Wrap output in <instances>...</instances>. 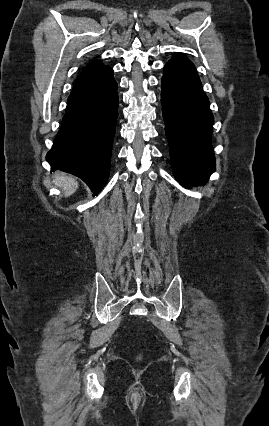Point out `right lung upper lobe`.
Here are the masks:
<instances>
[{
    "instance_id": "right-lung-upper-lobe-1",
    "label": "right lung upper lobe",
    "mask_w": 269,
    "mask_h": 426,
    "mask_svg": "<svg viewBox=\"0 0 269 426\" xmlns=\"http://www.w3.org/2000/svg\"><path fill=\"white\" fill-rule=\"evenodd\" d=\"M102 66H103V64H102L100 61L96 60V61H93L92 63L88 64V65H87V66L83 69V71H82V72L92 71V70L98 69V68H100V67H102Z\"/></svg>"
}]
</instances>
